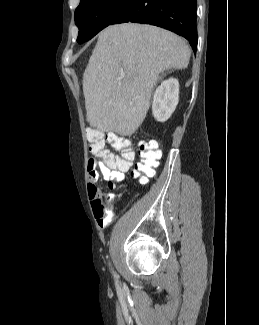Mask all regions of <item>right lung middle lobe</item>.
<instances>
[{
	"label": "right lung middle lobe",
	"mask_w": 259,
	"mask_h": 325,
	"mask_svg": "<svg viewBox=\"0 0 259 325\" xmlns=\"http://www.w3.org/2000/svg\"><path fill=\"white\" fill-rule=\"evenodd\" d=\"M127 0H80L75 10V23L79 28L77 42L82 44L110 25Z\"/></svg>",
	"instance_id": "1"
}]
</instances>
